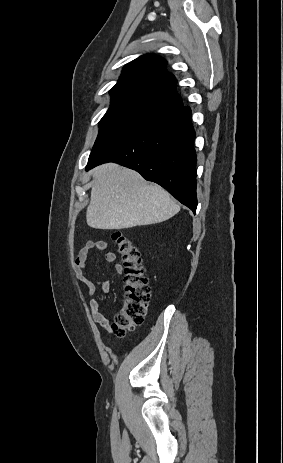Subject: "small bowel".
I'll return each instance as SVG.
<instances>
[{
  "label": "small bowel",
  "mask_w": 283,
  "mask_h": 463,
  "mask_svg": "<svg viewBox=\"0 0 283 463\" xmlns=\"http://www.w3.org/2000/svg\"><path fill=\"white\" fill-rule=\"evenodd\" d=\"M109 246L105 240L89 241L87 242L78 252L73 262V269L76 273L78 280H80L86 287L88 296L90 297V310L92 318L96 324L103 329L108 330L110 328L109 319L100 311V303L96 298L97 287H100L103 294L108 293L110 289L109 281L106 279L93 280L88 277L85 272L89 252L92 249H96L101 252H105V259L108 263H114L115 272L120 274L123 272V267L120 263L116 262L115 253L108 250Z\"/></svg>",
  "instance_id": "1"
}]
</instances>
